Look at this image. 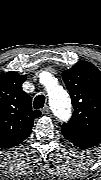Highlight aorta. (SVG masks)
Segmentation results:
<instances>
[{
  "mask_svg": "<svg viewBox=\"0 0 101 180\" xmlns=\"http://www.w3.org/2000/svg\"><path fill=\"white\" fill-rule=\"evenodd\" d=\"M46 88L54 114L62 121L68 120L71 115V102L67 92L57 84L52 76H50Z\"/></svg>",
  "mask_w": 101,
  "mask_h": 180,
  "instance_id": "aorta-1",
  "label": "aorta"
}]
</instances>
